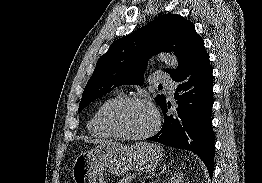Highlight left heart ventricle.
<instances>
[{"mask_svg":"<svg viewBox=\"0 0 262 183\" xmlns=\"http://www.w3.org/2000/svg\"><path fill=\"white\" fill-rule=\"evenodd\" d=\"M116 126L124 133L141 135L148 132L155 124L152 109L143 104L130 105L115 117Z\"/></svg>","mask_w":262,"mask_h":183,"instance_id":"b2bd125f","label":"left heart ventricle"}]
</instances>
